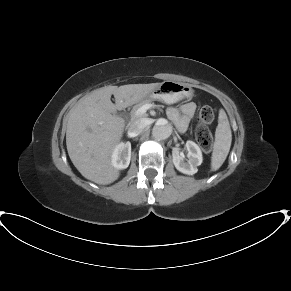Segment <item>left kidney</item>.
<instances>
[{"label": "left kidney", "mask_w": 291, "mask_h": 291, "mask_svg": "<svg viewBox=\"0 0 291 291\" xmlns=\"http://www.w3.org/2000/svg\"><path fill=\"white\" fill-rule=\"evenodd\" d=\"M185 147L188 151L187 162H185L184 153L175 147L172 151L173 163L181 173L193 175L198 171L197 167L202 163V152L199 146L193 141H187Z\"/></svg>", "instance_id": "obj_1"}]
</instances>
